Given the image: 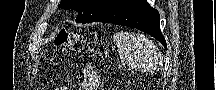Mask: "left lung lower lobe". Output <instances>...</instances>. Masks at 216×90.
Returning a JSON list of instances; mask_svg holds the SVG:
<instances>
[{"label": "left lung lower lobe", "instance_id": "left-lung-lower-lobe-1", "mask_svg": "<svg viewBox=\"0 0 216 90\" xmlns=\"http://www.w3.org/2000/svg\"><path fill=\"white\" fill-rule=\"evenodd\" d=\"M94 22L113 23L142 30L156 38L166 48V41L159 26V12L146 0H129L123 6L105 13Z\"/></svg>", "mask_w": 216, "mask_h": 90}]
</instances>
